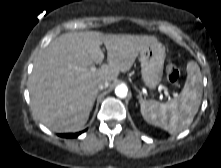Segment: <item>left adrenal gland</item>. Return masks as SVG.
Returning a JSON list of instances; mask_svg holds the SVG:
<instances>
[{"mask_svg":"<svg viewBox=\"0 0 221 168\" xmlns=\"http://www.w3.org/2000/svg\"><path fill=\"white\" fill-rule=\"evenodd\" d=\"M136 90H137L138 93H139V95H138L139 101L142 102V101H143L142 93H141L140 90H138L137 88H136Z\"/></svg>","mask_w":221,"mask_h":168,"instance_id":"a2214340","label":"left adrenal gland"}]
</instances>
